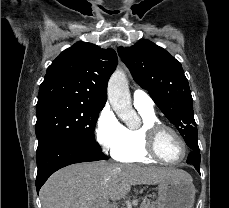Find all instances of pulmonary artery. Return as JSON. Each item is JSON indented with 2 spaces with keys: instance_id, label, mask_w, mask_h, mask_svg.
<instances>
[{
  "instance_id": "obj_1",
  "label": "pulmonary artery",
  "mask_w": 229,
  "mask_h": 208,
  "mask_svg": "<svg viewBox=\"0 0 229 208\" xmlns=\"http://www.w3.org/2000/svg\"><path fill=\"white\" fill-rule=\"evenodd\" d=\"M133 104L136 109L154 111V102L151 97L143 90L136 89L133 93Z\"/></svg>"
}]
</instances>
